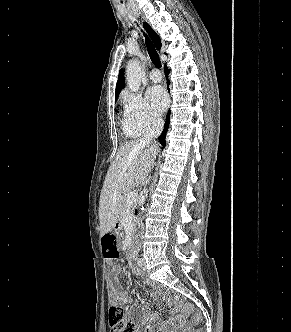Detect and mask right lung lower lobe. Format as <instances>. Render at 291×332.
Returning a JSON list of instances; mask_svg holds the SVG:
<instances>
[{"label":"right lung lower lobe","instance_id":"right-lung-lower-lobe-1","mask_svg":"<svg viewBox=\"0 0 291 332\" xmlns=\"http://www.w3.org/2000/svg\"><path fill=\"white\" fill-rule=\"evenodd\" d=\"M164 70H165L166 78H168L169 70H168V68H167L166 65H165V67H164ZM167 84L169 85V81H168V80H167ZM168 89H169V88H168ZM169 115H170V111H169L168 114H167L166 122H165V125H164L163 132H162V134L159 136V142L161 143V145H162L163 147H165V144H166L165 136H166L167 130H168V128H169Z\"/></svg>","mask_w":291,"mask_h":332}]
</instances>
